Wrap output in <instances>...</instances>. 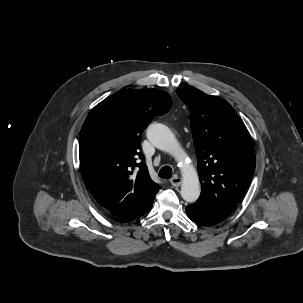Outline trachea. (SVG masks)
Here are the masks:
<instances>
[{"label": "trachea", "mask_w": 303, "mask_h": 303, "mask_svg": "<svg viewBox=\"0 0 303 303\" xmlns=\"http://www.w3.org/2000/svg\"><path fill=\"white\" fill-rule=\"evenodd\" d=\"M172 176V169L170 166H164L159 171V177L163 179H170Z\"/></svg>", "instance_id": "trachea-1"}]
</instances>
